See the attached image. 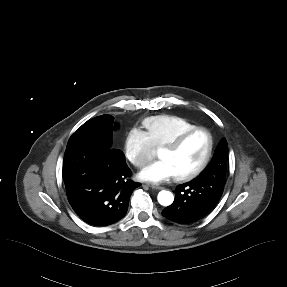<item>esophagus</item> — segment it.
<instances>
[{"mask_svg":"<svg viewBox=\"0 0 287 287\" xmlns=\"http://www.w3.org/2000/svg\"><path fill=\"white\" fill-rule=\"evenodd\" d=\"M148 187H150L152 189H157V190H161L162 189L161 186H158V185H155V184H148Z\"/></svg>","mask_w":287,"mask_h":287,"instance_id":"esophagus-1","label":"esophagus"}]
</instances>
